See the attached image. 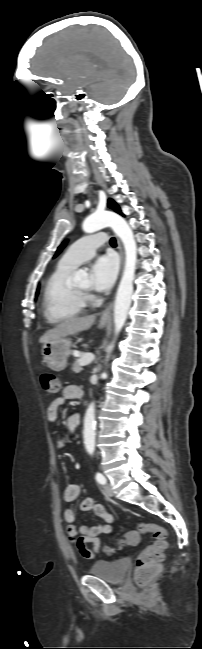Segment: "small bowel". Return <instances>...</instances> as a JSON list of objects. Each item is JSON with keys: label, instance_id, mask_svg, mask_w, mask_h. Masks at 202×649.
I'll return each instance as SVG.
<instances>
[{"label": "small bowel", "instance_id": "c3829d8e", "mask_svg": "<svg viewBox=\"0 0 202 649\" xmlns=\"http://www.w3.org/2000/svg\"><path fill=\"white\" fill-rule=\"evenodd\" d=\"M83 395L81 387L78 385H67L61 397L53 400L47 408V418L50 422L57 419L59 408L65 403L66 400L79 399ZM80 422V415L78 413L71 414L67 419V432L72 435ZM66 439L63 438L59 442L60 447H64ZM80 485L77 482L70 483L63 492V499L66 502L75 501L80 494ZM82 511H92L96 516L104 520L103 523L94 526L76 524L77 516L72 509L64 511V519L67 522V534L71 538L73 544L77 547L82 558L86 560H93L97 555L101 554L102 544L99 539L101 534H111L113 531L112 522L113 517L105 508L96 503L93 499H85L80 505ZM89 545L92 548H89Z\"/></svg>", "mask_w": 202, "mask_h": 649}]
</instances>
